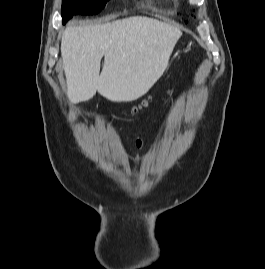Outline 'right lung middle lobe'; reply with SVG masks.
<instances>
[{
    "label": "right lung middle lobe",
    "instance_id": "1",
    "mask_svg": "<svg viewBox=\"0 0 265 269\" xmlns=\"http://www.w3.org/2000/svg\"><path fill=\"white\" fill-rule=\"evenodd\" d=\"M109 0H62V19L66 23L76 14H97Z\"/></svg>",
    "mask_w": 265,
    "mask_h": 269
}]
</instances>
